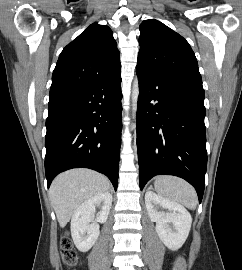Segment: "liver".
Wrapping results in <instances>:
<instances>
[{
	"mask_svg": "<svg viewBox=\"0 0 242 270\" xmlns=\"http://www.w3.org/2000/svg\"><path fill=\"white\" fill-rule=\"evenodd\" d=\"M109 180L89 169H73L58 175L49 190L51 204L60 227H65L73 213L87 199L108 191Z\"/></svg>",
	"mask_w": 242,
	"mask_h": 270,
	"instance_id": "obj_1",
	"label": "liver"
}]
</instances>
